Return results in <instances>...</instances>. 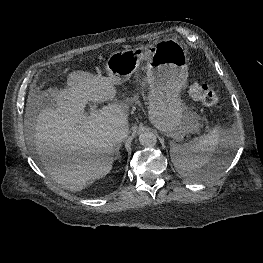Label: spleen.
Wrapping results in <instances>:
<instances>
[{"label": "spleen", "mask_w": 263, "mask_h": 263, "mask_svg": "<svg viewBox=\"0 0 263 263\" xmlns=\"http://www.w3.org/2000/svg\"><path fill=\"white\" fill-rule=\"evenodd\" d=\"M239 145V135L235 130L215 127L208 134L201 135L185 144H172L170 156L180 174L191 181H203L219 176L230 163V153ZM222 148L225 156L219 160L213 173H204L201 168L212 158L213 153Z\"/></svg>", "instance_id": "spleen-1"}]
</instances>
